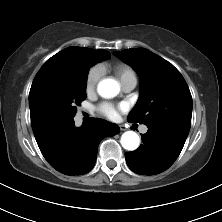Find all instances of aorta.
I'll list each match as a JSON object with an SVG mask.
<instances>
[{
	"label": "aorta",
	"instance_id": "aorta-1",
	"mask_svg": "<svg viewBox=\"0 0 222 222\" xmlns=\"http://www.w3.org/2000/svg\"><path fill=\"white\" fill-rule=\"evenodd\" d=\"M119 90L118 82L113 79H103L97 86V92L103 98H113L119 93ZM120 142L124 149L134 151L139 147L140 139L134 131H126Z\"/></svg>",
	"mask_w": 222,
	"mask_h": 222
}]
</instances>
